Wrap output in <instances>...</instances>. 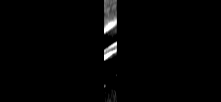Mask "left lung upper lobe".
<instances>
[{
	"label": "left lung upper lobe",
	"mask_w": 221,
	"mask_h": 102,
	"mask_svg": "<svg viewBox=\"0 0 221 102\" xmlns=\"http://www.w3.org/2000/svg\"><path fill=\"white\" fill-rule=\"evenodd\" d=\"M104 41L103 38L94 42L93 47L87 52L80 54V56L76 59L74 66L79 70L86 73L97 60L99 53L103 51Z\"/></svg>",
	"instance_id": "1"
}]
</instances>
